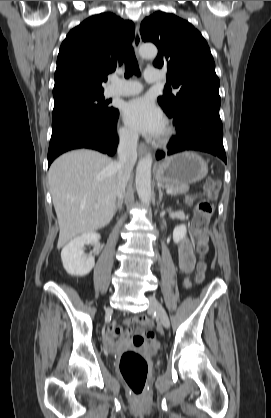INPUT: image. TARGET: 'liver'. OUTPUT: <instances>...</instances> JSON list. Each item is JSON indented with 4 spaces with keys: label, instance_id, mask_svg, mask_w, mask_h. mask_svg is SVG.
Segmentation results:
<instances>
[{
    "label": "liver",
    "instance_id": "liver-1",
    "mask_svg": "<svg viewBox=\"0 0 271 418\" xmlns=\"http://www.w3.org/2000/svg\"><path fill=\"white\" fill-rule=\"evenodd\" d=\"M117 172L115 161L87 149L63 154L52 163L48 181L60 229L58 249L111 221Z\"/></svg>",
    "mask_w": 271,
    "mask_h": 418
}]
</instances>
